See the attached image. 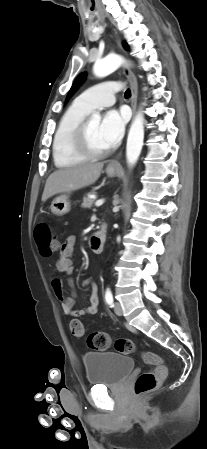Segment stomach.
<instances>
[{"label":"stomach","instance_id":"stomach-1","mask_svg":"<svg viewBox=\"0 0 207 449\" xmlns=\"http://www.w3.org/2000/svg\"><path fill=\"white\" fill-rule=\"evenodd\" d=\"M119 172V169H112L107 167L106 173L110 177H114ZM51 212L56 216H63L68 213L71 209V203L69 200V195L63 194L56 197L50 206Z\"/></svg>","mask_w":207,"mask_h":449}]
</instances>
